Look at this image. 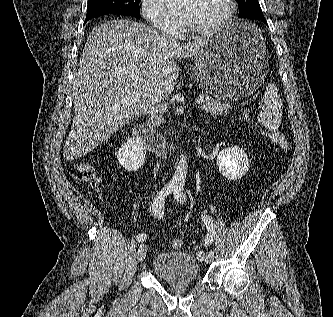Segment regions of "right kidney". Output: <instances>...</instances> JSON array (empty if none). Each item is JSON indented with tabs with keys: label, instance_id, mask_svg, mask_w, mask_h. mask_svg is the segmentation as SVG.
Masks as SVG:
<instances>
[{
	"label": "right kidney",
	"instance_id": "ca27d5eb",
	"mask_svg": "<svg viewBox=\"0 0 333 317\" xmlns=\"http://www.w3.org/2000/svg\"><path fill=\"white\" fill-rule=\"evenodd\" d=\"M146 148L139 138H128L116 153L120 165L128 171H137L145 162Z\"/></svg>",
	"mask_w": 333,
	"mask_h": 317
}]
</instances>
